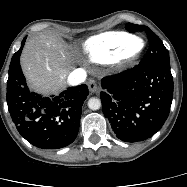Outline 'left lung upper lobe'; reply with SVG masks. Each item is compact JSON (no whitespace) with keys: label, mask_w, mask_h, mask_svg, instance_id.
I'll return each mask as SVG.
<instances>
[{"label":"left lung upper lobe","mask_w":187,"mask_h":187,"mask_svg":"<svg viewBox=\"0 0 187 187\" xmlns=\"http://www.w3.org/2000/svg\"><path fill=\"white\" fill-rule=\"evenodd\" d=\"M126 29L130 32L144 31L148 36L149 49L140 63H170L168 50L163 45L161 39L147 26L128 23L126 24Z\"/></svg>","instance_id":"left-lung-upper-lobe-1"}]
</instances>
